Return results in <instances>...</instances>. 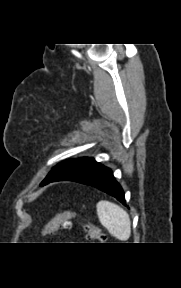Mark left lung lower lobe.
<instances>
[{
	"mask_svg": "<svg viewBox=\"0 0 181 288\" xmlns=\"http://www.w3.org/2000/svg\"><path fill=\"white\" fill-rule=\"evenodd\" d=\"M79 183L86 184L98 188L107 194L115 197L123 205L126 206L124 191L120 184L116 181L110 168L102 166L91 175L83 178ZM48 184L43 183L41 186Z\"/></svg>",
	"mask_w": 181,
	"mask_h": 288,
	"instance_id": "left-lung-lower-lobe-1",
	"label": "left lung lower lobe"
}]
</instances>
